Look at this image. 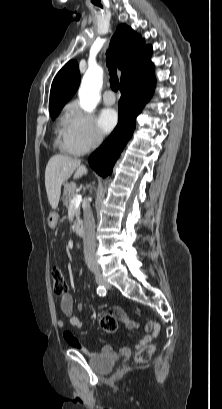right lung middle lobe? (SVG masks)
<instances>
[{"label": "right lung middle lobe", "mask_w": 222, "mask_h": 409, "mask_svg": "<svg viewBox=\"0 0 222 409\" xmlns=\"http://www.w3.org/2000/svg\"><path fill=\"white\" fill-rule=\"evenodd\" d=\"M61 109L50 111L51 117L54 119L60 112Z\"/></svg>", "instance_id": "obj_1"}]
</instances>
